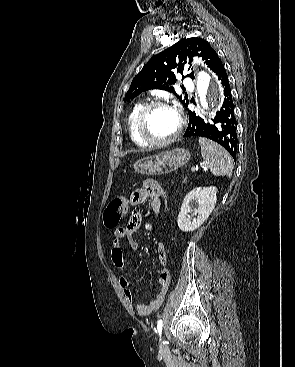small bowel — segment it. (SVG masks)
<instances>
[{
  "instance_id": "1",
  "label": "small bowel",
  "mask_w": 295,
  "mask_h": 367,
  "mask_svg": "<svg viewBox=\"0 0 295 367\" xmlns=\"http://www.w3.org/2000/svg\"><path fill=\"white\" fill-rule=\"evenodd\" d=\"M164 190L161 185L155 180H146L143 186L135 190L131 195V202L133 205H140L146 200H150L151 211L154 217L158 216L161 208V201L163 200ZM130 218L125 226L116 228L114 231V239L111 248V261L115 268L120 271H125L131 266L122 249L123 241H126L132 251L137 250L138 242L134 238V233L142 224V218L139 214L138 208L130 209ZM148 230H152L151 224H146ZM156 253L158 261L161 265L159 272V290L154 300L147 304H138L137 312L140 315H150L155 312L164 302L167 290L170 284V272L167 268V253L162 243L157 242ZM119 285L122 288L125 298L129 303L134 301L132 292L129 289L128 280L125 277L119 278Z\"/></svg>"
}]
</instances>
